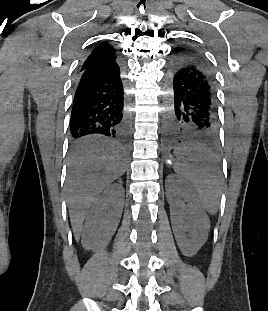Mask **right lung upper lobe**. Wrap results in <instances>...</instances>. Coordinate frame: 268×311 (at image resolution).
Masks as SVG:
<instances>
[{
	"mask_svg": "<svg viewBox=\"0 0 268 311\" xmlns=\"http://www.w3.org/2000/svg\"><path fill=\"white\" fill-rule=\"evenodd\" d=\"M118 61L117 49L113 45L103 42L92 51L81 68L106 67Z\"/></svg>",
	"mask_w": 268,
	"mask_h": 311,
	"instance_id": "cb5924a9",
	"label": "right lung upper lobe"
}]
</instances>
